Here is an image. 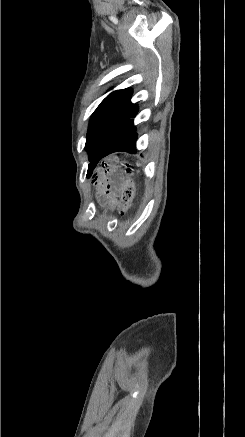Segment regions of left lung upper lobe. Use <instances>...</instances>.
<instances>
[{
    "label": "left lung upper lobe",
    "mask_w": 245,
    "mask_h": 437,
    "mask_svg": "<svg viewBox=\"0 0 245 437\" xmlns=\"http://www.w3.org/2000/svg\"><path fill=\"white\" fill-rule=\"evenodd\" d=\"M130 88L117 90L109 94L97 107L90 118L85 149L91 165L103 147L107 137L118 121L132 106ZM91 167L88 173H92Z\"/></svg>",
    "instance_id": "obj_1"
}]
</instances>
